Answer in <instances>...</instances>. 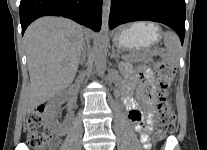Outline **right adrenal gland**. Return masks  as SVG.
Segmentation results:
<instances>
[{"label":"right adrenal gland","mask_w":207,"mask_h":150,"mask_svg":"<svg viewBox=\"0 0 207 150\" xmlns=\"http://www.w3.org/2000/svg\"><path fill=\"white\" fill-rule=\"evenodd\" d=\"M85 57H86V45L84 44L83 50H82V56H81L79 63L82 64L85 61Z\"/></svg>","instance_id":"1"}]
</instances>
